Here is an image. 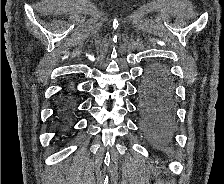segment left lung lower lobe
<instances>
[{"label":"left lung lower lobe","mask_w":224,"mask_h":184,"mask_svg":"<svg viewBox=\"0 0 224 184\" xmlns=\"http://www.w3.org/2000/svg\"><path fill=\"white\" fill-rule=\"evenodd\" d=\"M139 94L144 134L158 144L168 143L175 130L174 85L168 70L158 64L150 66L143 76Z\"/></svg>","instance_id":"left-lung-lower-lobe-1"}]
</instances>
